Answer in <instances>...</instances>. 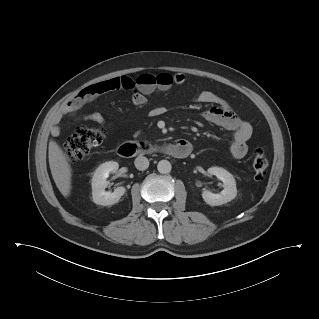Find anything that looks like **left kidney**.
Masks as SVG:
<instances>
[{
	"instance_id": "5707ae66",
	"label": "left kidney",
	"mask_w": 319,
	"mask_h": 319,
	"mask_svg": "<svg viewBox=\"0 0 319 319\" xmlns=\"http://www.w3.org/2000/svg\"><path fill=\"white\" fill-rule=\"evenodd\" d=\"M210 175H215L223 182V190L214 194L208 190L203 191L202 197L204 201L211 206H218L230 202L237 195L236 182L231 173L221 167H210L208 170Z\"/></svg>"
}]
</instances>
